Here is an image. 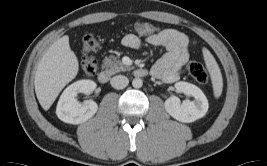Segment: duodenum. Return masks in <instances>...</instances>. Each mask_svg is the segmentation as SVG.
<instances>
[{
    "instance_id": "obj_1",
    "label": "duodenum",
    "mask_w": 267,
    "mask_h": 166,
    "mask_svg": "<svg viewBox=\"0 0 267 166\" xmlns=\"http://www.w3.org/2000/svg\"><path fill=\"white\" fill-rule=\"evenodd\" d=\"M147 70L146 69H143V68H140V69H136L133 71V75L135 77H138V78H141V77H144L147 75ZM110 80V73L109 71L107 70H101L99 73H98V81L102 84H106L108 83Z\"/></svg>"
}]
</instances>
